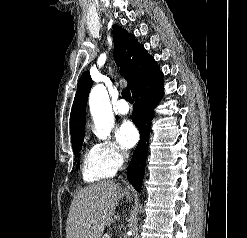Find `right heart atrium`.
<instances>
[{
  "label": "right heart atrium",
  "mask_w": 247,
  "mask_h": 238,
  "mask_svg": "<svg viewBox=\"0 0 247 238\" xmlns=\"http://www.w3.org/2000/svg\"><path fill=\"white\" fill-rule=\"evenodd\" d=\"M96 147L103 160L114 171L120 169L127 158V153L110 140L100 142Z\"/></svg>",
  "instance_id": "obj_1"
}]
</instances>
